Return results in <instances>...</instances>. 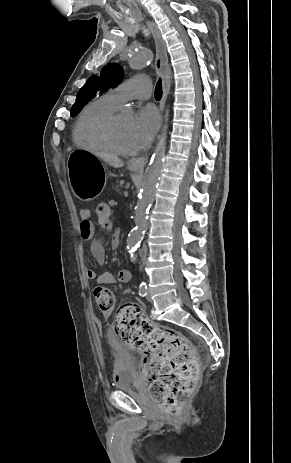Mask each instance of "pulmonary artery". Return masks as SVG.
I'll return each mask as SVG.
<instances>
[{
    "mask_svg": "<svg viewBox=\"0 0 291 463\" xmlns=\"http://www.w3.org/2000/svg\"><path fill=\"white\" fill-rule=\"evenodd\" d=\"M151 79L147 75L134 76L110 90L111 97L118 104L131 99H148L151 94Z\"/></svg>",
    "mask_w": 291,
    "mask_h": 463,
    "instance_id": "e3ab8cb5",
    "label": "pulmonary artery"
}]
</instances>
